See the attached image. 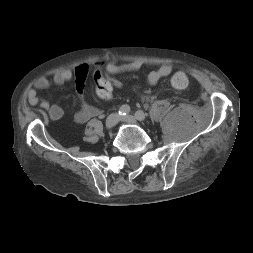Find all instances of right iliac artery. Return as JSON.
<instances>
[{
	"instance_id": "obj_1",
	"label": "right iliac artery",
	"mask_w": 253,
	"mask_h": 253,
	"mask_svg": "<svg viewBox=\"0 0 253 253\" xmlns=\"http://www.w3.org/2000/svg\"><path fill=\"white\" fill-rule=\"evenodd\" d=\"M129 112H130V107L128 105H122L118 110V114L120 116H125L129 114Z\"/></svg>"
}]
</instances>
